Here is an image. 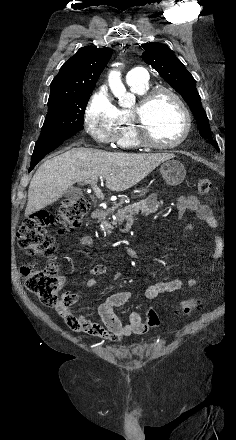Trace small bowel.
<instances>
[{
    "instance_id": "1",
    "label": "small bowel",
    "mask_w": 236,
    "mask_h": 440,
    "mask_svg": "<svg viewBox=\"0 0 236 440\" xmlns=\"http://www.w3.org/2000/svg\"><path fill=\"white\" fill-rule=\"evenodd\" d=\"M177 207L179 213L183 215L186 211L191 210L196 212L197 217L205 222L209 227L215 228L217 221L214 218L209 206L202 204L196 196H179L177 199ZM192 230L191 226L186 227V231ZM78 242L83 246H92L94 238L90 235H81L78 237ZM221 253V246L218 242L214 256L218 257ZM106 272V267L102 264H96L91 268L92 277L86 280L85 286L89 289L98 285V276ZM122 274L116 272L113 275L114 280L120 279ZM200 282V277L196 276L187 281L188 286H196ZM185 283L180 279H172L167 281H159L149 285L145 290V297L149 300L157 298L163 293L176 292L184 287ZM65 296L68 298L70 306L68 312L75 318H81L72 313L71 305L75 304L79 295L74 292H66ZM130 292H116L107 297L98 307L100 322H95L81 318L85 321H69V330H78L90 335H96L99 338L116 341L131 335H140L147 332V325L142 322L141 315L138 312H131L126 318L118 316L114 312V308L124 306L131 298Z\"/></svg>"
}]
</instances>
